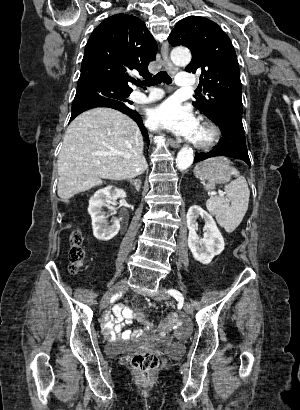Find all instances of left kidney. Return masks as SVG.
I'll use <instances>...</instances> for the list:
<instances>
[{
	"mask_svg": "<svg viewBox=\"0 0 300 410\" xmlns=\"http://www.w3.org/2000/svg\"><path fill=\"white\" fill-rule=\"evenodd\" d=\"M199 216L205 221L203 239H199L196 233ZM186 222L189 229L188 246L193 257L203 264H209L216 255L224 250L225 245L213 217L200 206L193 205L187 212Z\"/></svg>",
	"mask_w": 300,
	"mask_h": 410,
	"instance_id": "left-kidney-1",
	"label": "left kidney"
}]
</instances>
